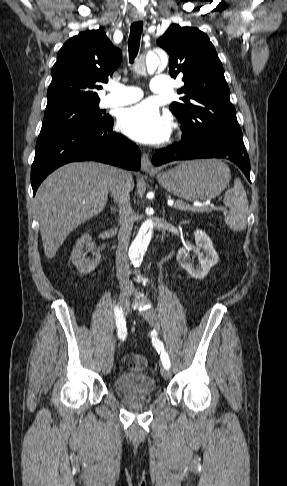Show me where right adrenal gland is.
<instances>
[{"label":"right adrenal gland","instance_id":"obj_1","mask_svg":"<svg viewBox=\"0 0 287 486\" xmlns=\"http://www.w3.org/2000/svg\"><path fill=\"white\" fill-rule=\"evenodd\" d=\"M111 211H112L113 213H115V212L117 211V210H116V207H113V206H112V207H111Z\"/></svg>","mask_w":287,"mask_h":486}]
</instances>
